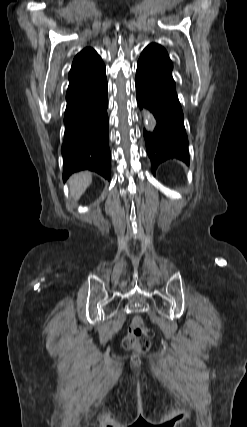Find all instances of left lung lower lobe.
I'll return each mask as SVG.
<instances>
[{
	"mask_svg": "<svg viewBox=\"0 0 247 427\" xmlns=\"http://www.w3.org/2000/svg\"><path fill=\"white\" fill-rule=\"evenodd\" d=\"M135 84L140 108H148L157 121L153 131L144 129L153 173L167 159L175 158L188 164V139L172 76L150 60L140 57Z\"/></svg>",
	"mask_w": 247,
	"mask_h": 427,
	"instance_id": "obj_1",
	"label": "left lung lower lobe"
}]
</instances>
